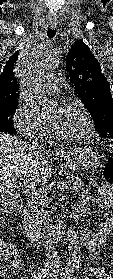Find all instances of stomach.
Returning a JSON list of instances; mask_svg holds the SVG:
<instances>
[{"label":"stomach","mask_w":113,"mask_h":279,"mask_svg":"<svg viewBox=\"0 0 113 279\" xmlns=\"http://www.w3.org/2000/svg\"><path fill=\"white\" fill-rule=\"evenodd\" d=\"M99 152L89 146L74 147L64 156L66 167L72 171L87 170L99 164Z\"/></svg>","instance_id":"1"}]
</instances>
